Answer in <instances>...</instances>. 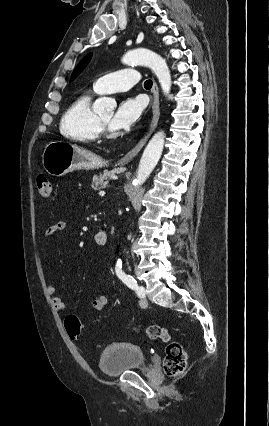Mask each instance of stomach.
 Returning a JSON list of instances; mask_svg holds the SVG:
<instances>
[{
    "mask_svg": "<svg viewBox=\"0 0 269 426\" xmlns=\"http://www.w3.org/2000/svg\"><path fill=\"white\" fill-rule=\"evenodd\" d=\"M42 165L49 175L60 177L74 170L102 168L107 162L77 145L55 140L46 145Z\"/></svg>",
    "mask_w": 269,
    "mask_h": 426,
    "instance_id": "obj_1",
    "label": "stomach"
}]
</instances>
